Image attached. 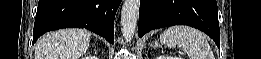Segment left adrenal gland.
Masks as SVG:
<instances>
[{
  "mask_svg": "<svg viewBox=\"0 0 261 59\" xmlns=\"http://www.w3.org/2000/svg\"><path fill=\"white\" fill-rule=\"evenodd\" d=\"M153 47H160L162 48V46L159 44L158 40H155L154 44L152 45Z\"/></svg>",
  "mask_w": 261,
  "mask_h": 59,
  "instance_id": "obj_1",
  "label": "left adrenal gland"
}]
</instances>
